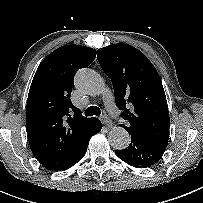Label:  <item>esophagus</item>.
Segmentation results:
<instances>
[{"label":"esophagus","instance_id":"obj_1","mask_svg":"<svg viewBox=\"0 0 203 203\" xmlns=\"http://www.w3.org/2000/svg\"><path fill=\"white\" fill-rule=\"evenodd\" d=\"M100 120L104 125L108 127H111L113 125L112 121L106 115H102L100 117Z\"/></svg>","mask_w":203,"mask_h":203}]
</instances>
